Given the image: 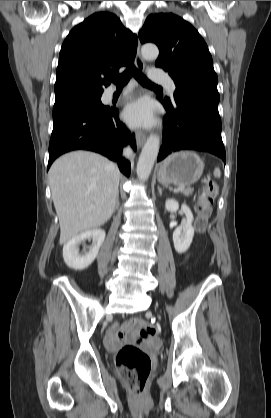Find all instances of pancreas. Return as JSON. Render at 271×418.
I'll use <instances>...</instances> for the list:
<instances>
[{
	"instance_id": "obj_1",
	"label": "pancreas",
	"mask_w": 271,
	"mask_h": 418,
	"mask_svg": "<svg viewBox=\"0 0 271 418\" xmlns=\"http://www.w3.org/2000/svg\"><path fill=\"white\" fill-rule=\"evenodd\" d=\"M179 191L184 194L185 196H189L193 193V188L180 186Z\"/></svg>"
}]
</instances>
